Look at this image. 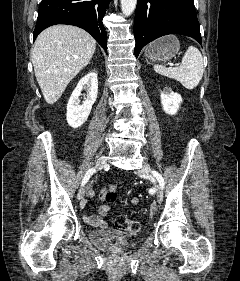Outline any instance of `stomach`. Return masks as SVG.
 Instances as JSON below:
<instances>
[{
  "instance_id": "1",
  "label": "stomach",
  "mask_w": 240,
  "mask_h": 281,
  "mask_svg": "<svg viewBox=\"0 0 240 281\" xmlns=\"http://www.w3.org/2000/svg\"><path fill=\"white\" fill-rule=\"evenodd\" d=\"M180 43L175 36L162 37L145 48V56L151 61H167L178 53Z\"/></svg>"
}]
</instances>
